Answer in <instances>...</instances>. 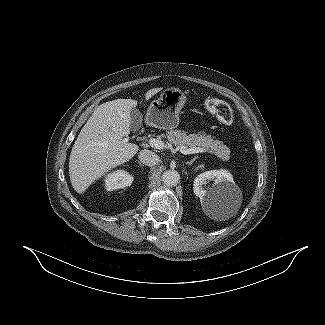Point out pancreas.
Instances as JSON below:
<instances>
[{
	"instance_id": "obj_1",
	"label": "pancreas",
	"mask_w": 325,
	"mask_h": 325,
	"mask_svg": "<svg viewBox=\"0 0 325 325\" xmlns=\"http://www.w3.org/2000/svg\"><path fill=\"white\" fill-rule=\"evenodd\" d=\"M169 142L175 146H184L186 148L202 147L211 150L222 161H228L230 149L222 141L215 140L214 137L206 135L205 132L189 134L182 130H170L166 133Z\"/></svg>"
}]
</instances>
